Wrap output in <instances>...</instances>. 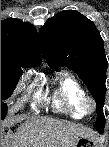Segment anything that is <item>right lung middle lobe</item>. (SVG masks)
Masks as SVG:
<instances>
[{"instance_id":"dd1d6c3e","label":"right lung middle lobe","mask_w":109,"mask_h":147,"mask_svg":"<svg viewBox=\"0 0 109 147\" xmlns=\"http://www.w3.org/2000/svg\"><path fill=\"white\" fill-rule=\"evenodd\" d=\"M22 75V70L14 66L1 65V100L11 96ZM7 114V105L1 102V119Z\"/></svg>"}]
</instances>
